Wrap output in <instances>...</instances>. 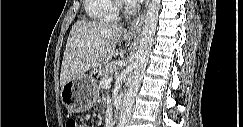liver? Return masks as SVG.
Here are the masks:
<instances>
[{
	"label": "liver",
	"instance_id": "obj_1",
	"mask_svg": "<svg viewBox=\"0 0 243 127\" xmlns=\"http://www.w3.org/2000/svg\"><path fill=\"white\" fill-rule=\"evenodd\" d=\"M124 33L122 27L103 22L79 20L69 33L64 51L61 87L85 72L108 64L119 55L117 44Z\"/></svg>",
	"mask_w": 243,
	"mask_h": 127
}]
</instances>
